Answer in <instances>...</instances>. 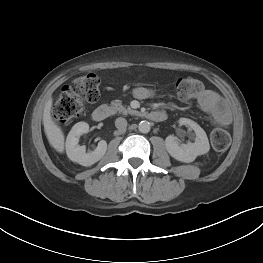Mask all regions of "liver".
Instances as JSON below:
<instances>
[{"instance_id": "liver-1", "label": "liver", "mask_w": 263, "mask_h": 263, "mask_svg": "<svg viewBox=\"0 0 263 263\" xmlns=\"http://www.w3.org/2000/svg\"><path fill=\"white\" fill-rule=\"evenodd\" d=\"M52 98L45 103L43 111V124L47 139L50 145L59 153L64 151V134L59 126H57L51 117Z\"/></svg>"}]
</instances>
